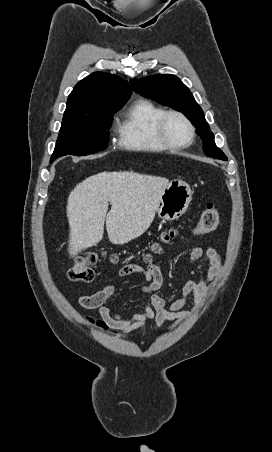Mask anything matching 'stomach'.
Instances as JSON below:
<instances>
[{
	"label": "stomach",
	"instance_id": "obj_1",
	"mask_svg": "<svg viewBox=\"0 0 272 452\" xmlns=\"http://www.w3.org/2000/svg\"><path fill=\"white\" fill-rule=\"evenodd\" d=\"M192 200L190 186L182 180H172L164 190L156 212L163 221L178 219L188 208Z\"/></svg>",
	"mask_w": 272,
	"mask_h": 452
}]
</instances>
